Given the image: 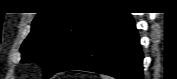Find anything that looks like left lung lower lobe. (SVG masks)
I'll return each instance as SVG.
<instances>
[{
  "mask_svg": "<svg viewBox=\"0 0 177 79\" xmlns=\"http://www.w3.org/2000/svg\"><path fill=\"white\" fill-rule=\"evenodd\" d=\"M142 60L131 15L107 13L57 72L87 70L117 79H142Z\"/></svg>",
  "mask_w": 177,
  "mask_h": 79,
  "instance_id": "0a47b994",
  "label": "left lung lower lobe"
}]
</instances>
